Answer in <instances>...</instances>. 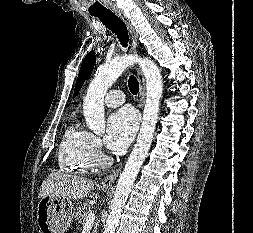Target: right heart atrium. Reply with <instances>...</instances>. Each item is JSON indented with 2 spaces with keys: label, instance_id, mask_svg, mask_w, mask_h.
<instances>
[{
  "label": "right heart atrium",
  "instance_id": "1",
  "mask_svg": "<svg viewBox=\"0 0 253 233\" xmlns=\"http://www.w3.org/2000/svg\"><path fill=\"white\" fill-rule=\"evenodd\" d=\"M92 145H93L94 150L101 149V142L97 136L92 135Z\"/></svg>",
  "mask_w": 253,
  "mask_h": 233
}]
</instances>
